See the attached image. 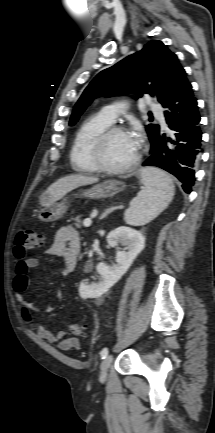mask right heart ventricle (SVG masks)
<instances>
[{"label":"right heart ventricle","mask_w":215,"mask_h":433,"mask_svg":"<svg viewBox=\"0 0 215 433\" xmlns=\"http://www.w3.org/2000/svg\"><path fill=\"white\" fill-rule=\"evenodd\" d=\"M111 124L100 113L85 120L75 135L70 151V161L74 170L82 173L97 171L91 159V147L95 138Z\"/></svg>","instance_id":"obj_1"}]
</instances>
